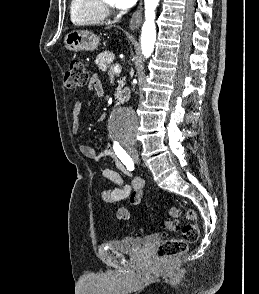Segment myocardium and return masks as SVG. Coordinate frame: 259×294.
I'll use <instances>...</instances> for the list:
<instances>
[{
	"mask_svg": "<svg viewBox=\"0 0 259 294\" xmlns=\"http://www.w3.org/2000/svg\"><path fill=\"white\" fill-rule=\"evenodd\" d=\"M103 8L106 10V12H109L112 10V4L111 3H108L107 0H100Z\"/></svg>",
	"mask_w": 259,
	"mask_h": 294,
	"instance_id": "f54148a6",
	"label": "myocardium"
}]
</instances>
